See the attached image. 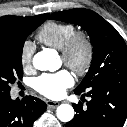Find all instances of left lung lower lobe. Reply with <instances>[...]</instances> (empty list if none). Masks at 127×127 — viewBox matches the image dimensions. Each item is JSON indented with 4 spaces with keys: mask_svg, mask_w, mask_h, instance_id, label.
Here are the masks:
<instances>
[{
    "mask_svg": "<svg viewBox=\"0 0 127 127\" xmlns=\"http://www.w3.org/2000/svg\"><path fill=\"white\" fill-rule=\"evenodd\" d=\"M87 107L73 104L74 118L66 127H123L127 118V84L104 82L88 91Z\"/></svg>",
    "mask_w": 127,
    "mask_h": 127,
    "instance_id": "0a47b994",
    "label": "left lung lower lobe"
}]
</instances>
